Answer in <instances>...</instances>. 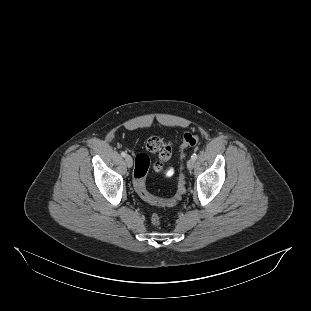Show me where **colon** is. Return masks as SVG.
Wrapping results in <instances>:
<instances>
[{
    "label": "colon",
    "instance_id": "colon-1",
    "mask_svg": "<svg viewBox=\"0 0 311 311\" xmlns=\"http://www.w3.org/2000/svg\"><path fill=\"white\" fill-rule=\"evenodd\" d=\"M199 140L197 134L194 133H186L183 138V142L180 146V154L181 159L185 156V149L194 146ZM147 148L150 152L159 153L160 158L162 160H167L171 156L170 147L164 145L158 138H150L147 142ZM150 166L149 157L146 154H138L135 158V169H134V176H135V187L136 191L138 192L139 196L145 200L146 202L161 206V207H172L175 206L180 202L183 195L186 192L185 186V175L183 173V166H181V171L179 175L178 187L176 194L171 199H159L157 197L152 196L145 187L144 177L145 174ZM158 171H161L166 177L171 176L172 172L170 169H164L162 164L156 165ZM151 223L154 226L161 225V217L157 213H153L151 215Z\"/></svg>",
    "mask_w": 311,
    "mask_h": 311
}]
</instances>
